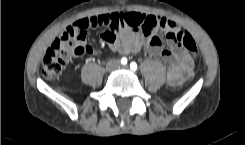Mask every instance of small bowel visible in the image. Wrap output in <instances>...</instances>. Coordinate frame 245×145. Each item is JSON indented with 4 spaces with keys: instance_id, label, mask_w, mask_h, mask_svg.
Listing matches in <instances>:
<instances>
[{
    "instance_id": "c3829d8e",
    "label": "small bowel",
    "mask_w": 245,
    "mask_h": 145,
    "mask_svg": "<svg viewBox=\"0 0 245 145\" xmlns=\"http://www.w3.org/2000/svg\"><path fill=\"white\" fill-rule=\"evenodd\" d=\"M105 19L104 32L102 39L109 44L112 51L120 54H129L146 45L148 52L154 56H161L167 63V80L170 85H181L187 78L193 75L196 69L194 57L177 40L174 27L175 23L171 20L158 15L146 14L142 12H114L103 15ZM163 18L160 23L166 30V39L168 48L161 45V39L153 32L143 36L133 35L135 31L147 27L151 23L149 18ZM157 23V20H155ZM80 26H84V20L79 21ZM89 28V27H88ZM119 32L120 35H117ZM81 44L87 47V54L93 52L92 48L82 40Z\"/></svg>"
}]
</instances>
